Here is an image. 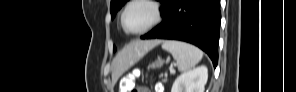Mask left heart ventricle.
I'll use <instances>...</instances> for the list:
<instances>
[{"mask_svg": "<svg viewBox=\"0 0 296 92\" xmlns=\"http://www.w3.org/2000/svg\"><path fill=\"white\" fill-rule=\"evenodd\" d=\"M124 20L125 26L128 30H141L153 20V10L147 4H133L127 10Z\"/></svg>", "mask_w": 296, "mask_h": 92, "instance_id": "b2bd125f", "label": "left heart ventricle"}]
</instances>
